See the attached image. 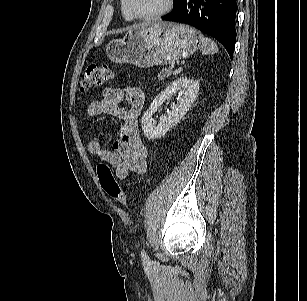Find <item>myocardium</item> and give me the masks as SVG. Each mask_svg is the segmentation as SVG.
<instances>
[{
  "label": "myocardium",
  "instance_id": "myocardium-1",
  "mask_svg": "<svg viewBox=\"0 0 307 301\" xmlns=\"http://www.w3.org/2000/svg\"><path fill=\"white\" fill-rule=\"evenodd\" d=\"M126 4L134 19L142 20V21H152V20L159 19L165 16L166 14H168L174 6V0H167L166 5L163 9H161L160 11L156 13L150 14V15L139 14L133 6L132 0H126Z\"/></svg>",
  "mask_w": 307,
  "mask_h": 301
}]
</instances>
